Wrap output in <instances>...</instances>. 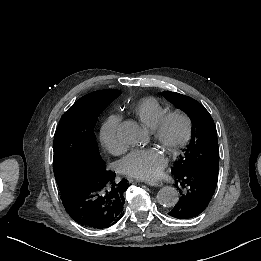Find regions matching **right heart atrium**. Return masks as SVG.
<instances>
[{
  "label": "right heart atrium",
  "instance_id": "1",
  "mask_svg": "<svg viewBox=\"0 0 261 261\" xmlns=\"http://www.w3.org/2000/svg\"><path fill=\"white\" fill-rule=\"evenodd\" d=\"M119 119L115 115L109 116L101 128V143L104 150L110 155H119L125 150L117 135Z\"/></svg>",
  "mask_w": 261,
  "mask_h": 261
}]
</instances>
